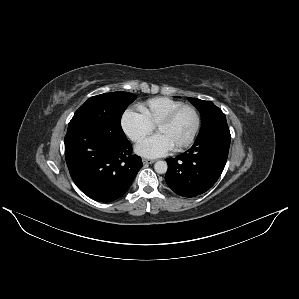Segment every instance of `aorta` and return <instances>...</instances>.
Segmentation results:
<instances>
[{
    "label": "aorta",
    "instance_id": "762f6f07",
    "mask_svg": "<svg viewBox=\"0 0 299 299\" xmlns=\"http://www.w3.org/2000/svg\"><path fill=\"white\" fill-rule=\"evenodd\" d=\"M154 169L157 173L159 174H164L167 172V169H168V165L165 161H157L155 164H154Z\"/></svg>",
    "mask_w": 299,
    "mask_h": 299
}]
</instances>
